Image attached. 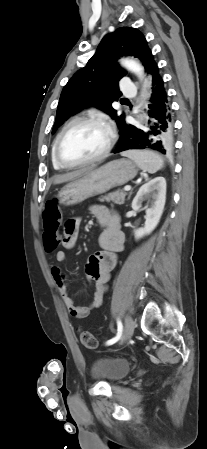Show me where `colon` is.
Returning <instances> with one entry per match:
<instances>
[{"label": "colon", "instance_id": "5ec220e1", "mask_svg": "<svg viewBox=\"0 0 207 449\" xmlns=\"http://www.w3.org/2000/svg\"><path fill=\"white\" fill-rule=\"evenodd\" d=\"M61 221L62 214L57 201H47L43 211V244L48 252L54 251L61 243L59 234ZM80 340L87 348L94 349L98 346L95 336L87 331L80 332Z\"/></svg>", "mask_w": 207, "mask_h": 449}]
</instances>
